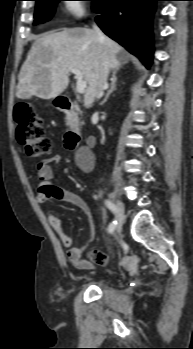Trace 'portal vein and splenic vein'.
Listing matches in <instances>:
<instances>
[{"instance_id":"18ae733b","label":"portal vein and splenic vein","mask_w":193,"mask_h":349,"mask_svg":"<svg viewBox=\"0 0 193 349\" xmlns=\"http://www.w3.org/2000/svg\"><path fill=\"white\" fill-rule=\"evenodd\" d=\"M75 74V77L77 79L76 83V90L78 93H84L87 87V82L83 80V75L80 71L78 70H73L72 71Z\"/></svg>"}]
</instances>
